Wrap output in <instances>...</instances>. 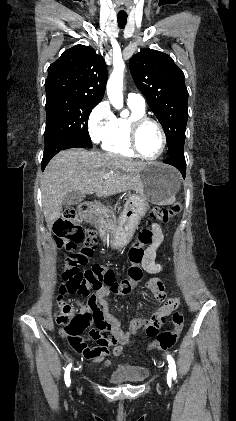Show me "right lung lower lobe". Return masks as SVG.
Segmentation results:
<instances>
[{
    "instance_id": "right-lung-lower-lobe-1",
    "label": "right lung lower lobe",
    "mask_w": 236,
    "mask_h": 421,
    "mask_svg": "<svg viewBox=\"0 0 236 421\" xmlns=\"http://www.w3.org/2000/svg\"><path fill=\"white\" fill-rule=\"evenodd\" d=\"M85 147L86 146L72 139H67V138L57 139L56 141L52 142L50 145L46 146L44 149V155L42 159V171L45 169L46 165L51 160V158L55 156L59 151L69 149V148H85Z\"/></svg>"
}]
</instances>
